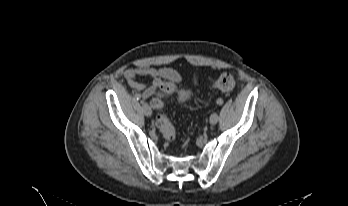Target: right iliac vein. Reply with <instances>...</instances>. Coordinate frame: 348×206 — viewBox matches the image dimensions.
<instances>
[{
  "mask_svg": "<svg viewBox=\"0 0 348 206\" xmlns=\"http://www.w3.org/2000/svg\"><path fill=\"white\" fill-rule=\"evenodd\" d=\"M143 112L147 117H150L152 115V110L147 103H143Z\"/></svg>",
  "mask_w": 348,
  "mask_h": 206,
  "instance_id": "63e3f726",
  "label": "right iliac vein"
}]
</instances>
